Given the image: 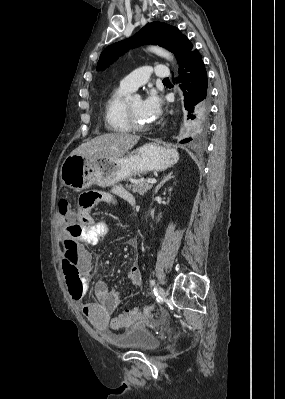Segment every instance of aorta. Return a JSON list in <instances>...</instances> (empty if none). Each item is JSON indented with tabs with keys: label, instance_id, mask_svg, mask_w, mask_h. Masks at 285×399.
I'll return each instance as SVG.
<instances>
[{
	"label": "aorta",
	"instance_id": "1",
	"mask_svg": "<svg viewBox=\"0 0 285 399\" xmlns=\"http://www.w3.org/2000/svg\"><path fill=\"white\" fill-rule=\"evenodd\" d=\"M147 50L150 51V52H153V53H155V54H157V55H159V56H161V57H163V58H165V59H167L169 61H173L174 60L173 55L169 51H167V50H165L163 48H160L158 46H149ZM139 97L140 96L136 94V95H133V96H129L128 98L130 100H133V99H137Z\"/></svg>",
	"mask_w": 285,
	"mask_h": 399
}]
</instances>
